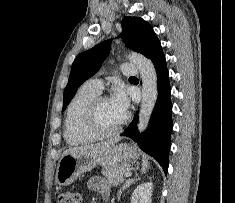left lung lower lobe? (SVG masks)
<instances>
[{"instance_id":"1","label":"left lung lower lobe","mask_w":235,"mask_h":203,"mask_svg":"<svg viewBox=\"0 0 235 203\" xmlns=\"http://www.w3.org/2000/svg\"><path fill=\"white\" fill-rule=\"evenodd\" d=\"M147 57L152 60L156 69L158 99L147 130L142 134L138 132L137 112L134 120L121 136L134 140L145 153L155 158L164 172L167 173L170 134L172 130V104L170 100L169 73L160 41H157L152 46Z\"/></svg>"}]
</instances>
